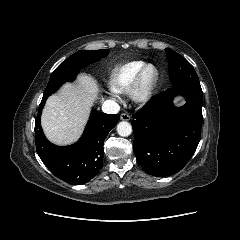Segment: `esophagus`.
I'll list each match as a JSON object with an SVG mask.
<instances>
[{"instance_id":"1","label":"esophagus","mask_w":240,"mask_h":240,"mask_svg":"<svg viewBox=\"0 0 240 240\" xmlns=\"http://www.w3.org/2000/svg\"><path fill=\"white\" fill-rule=\"evenodd\" d=\"M131 119L130 115L128 113H122L121 114V120L123 121H129Z\"/></svg>"}]
</instances>
